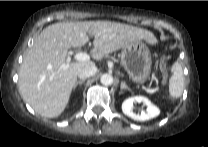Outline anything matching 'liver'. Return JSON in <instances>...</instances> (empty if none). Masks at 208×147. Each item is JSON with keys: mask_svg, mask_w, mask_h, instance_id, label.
Instances as JSON below:
<instances>
[{"mask_svg": "<svg viewBox=\"0 0 208 147\" xmlns=\"http://www.w3.org/2000/svg\"><path fill=\"white\" fill-rule=\"evenodd\" d=\"M89 35L94 36L91 56L97 61L135 41H155L148 30L110 21L60 22L46 27L25 54L19 70L20 95L36 113L55 118L64 111L78 72L94 64L68 61V49L81 48Z\"/></svg>", "mask_w": 208, "mask_h": 147, "instance_id": "6515ba94", "label": "liver"}]
</instances>
